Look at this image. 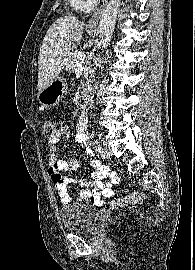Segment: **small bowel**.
I'll return each instance as SVG.
<instances>
[{"instance_id": "c3829d8e", "label": "small bowel", "mask_w": 195, "mask_h": 270, "mask_svg": "<svg viewBox=\"0 0 195 270\" xmlns=\"http://www.w3.org/2000/svg\"><path fill=\"white\" fill-rule=\"evenodd\" d=\"M86 130L87 118L83 115L77 125L74 143L79 145L85 154L93 158L90 162L91 180L61 174L62 171H73L79 167V163L75 159L61 160L57 155V146L61 138L70 135V128L67 124L61 126L48 139L51 150L48 173L63 204L71 202V196L67 190L69 184H77L83 188L76 198L78 202L102 205L101 196L107 198L114 196L113 187L118 182V176L108 166L103 165L98 159L94 158V151Z\"/></svg>"}]
</instances>
